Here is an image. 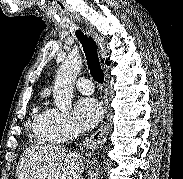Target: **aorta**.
Instances as JSON below:
<instances>
[{
    "label": "aorta",
    "mask_w": 183,
    "mask_h": 179,
    "mask_svg": "<svg viewBox=\"0 0 183 179\" xmlns=\"http://www.w3.org/2000/svg\"><path fill=\"white\" fill-rule=\"evenodd\" d=\"M82 59L79 56H68L61 64L53 89L54 105L61 111L72 108L74 84L81 70Z\"/></svg>",
    "instance_id": "aorta-1"
}]
</instances>
